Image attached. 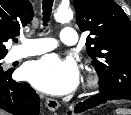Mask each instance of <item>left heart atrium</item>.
<instances>
[{
    "label": "left heart atrium",
    "mask_w": 131,
    "mask_h": 115,
    "mask_svg": "<svg viewBox=\"0 0 131 115\" xmlns=\"http://www.w3.org/2000/svg\"><path fill=\"white\" fill-rule=\"evenodd\" d=\"M23 76L37 89L51 94L71 92L78 83V69L72 61L47 55L27 64Z\"/></svg>",
    "instance_id": "obj_1"
}]
</instances>
